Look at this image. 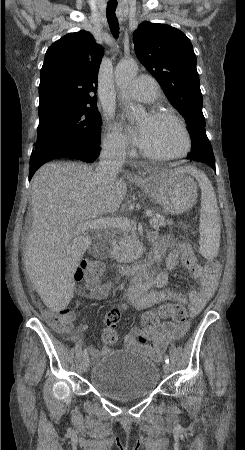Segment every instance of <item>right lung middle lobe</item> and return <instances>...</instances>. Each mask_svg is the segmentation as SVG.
<instances>
[{"mask_svg": "<svg viewBox=\"0 0 245 450\" xmlns=\"http://www.w3.org/2000/svg\"><path fill=\"white\" fill-rule=\"evenodd\" d=\"M37 143L31 156L99 146L97 106L56 103L38 109Z\"/></svg>", "mask_w": 245, "mask_h": 450, "instance_id": "dd1d6c3e", "label": "right lung middle lobe"}]
</instances>
